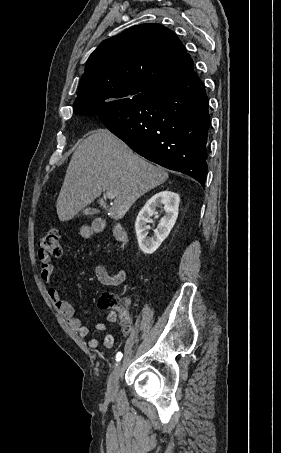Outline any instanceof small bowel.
<instances>
[{
  "label": "small bowel",
  "mask_w": 281,
  "mask_h": 453,
  "mask_svg": "<svg viewBox=\"0 0 281 453\" xmlns=\"http://www.w3.org/2000/svg\"><path fill=\"white\" fill-rule=\"evenodd\" d=\"M94 274L102 285L107 286H119L124 283L127 272L125 269H120L117 272L110 273L101 265L93 266ZM40 275L43 283L46 285L47 293L49 299L55 304L59 312L65 317L69 322L70 326L80 335L82 338H88V347L90 349H97L99 347V338L98 337H89V331L84 326L83 320L75 314V310L72 304L61 298L60 292L58 291L54 279H53V266L48 261H42L40 266ZM123 309L128 307L126 302L121 304ZM117 315L115 312H110L109 320L110 322H115ZM107 329V324L105 322H98L96 325V330L98 332H103ZM103 344L106 348H113L115 345L114 336L111 333L105 334L103 338Z\"/></svg>",
  "instance_id": "small-bowel-1"
}]
</instances>
